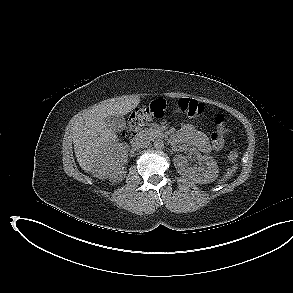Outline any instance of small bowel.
<instances>
[{"label": "small bowel", "mask_w": 293, "mask_h": 293, "mask_svg": "<svg viewBox=\"0 0 293 293\" xmlns=\"http://www.w3.org/2000/svg\"><path fill=\"white\" fill-rule=\"evenodd\" d=\"M177 137L179 140L190 143L202 152H208L210 150L207 136L191 124H184Z\"/></svg>", "instance_id": "obj_1"}]
</instances>
